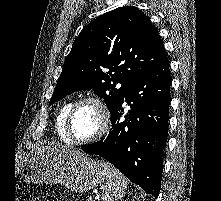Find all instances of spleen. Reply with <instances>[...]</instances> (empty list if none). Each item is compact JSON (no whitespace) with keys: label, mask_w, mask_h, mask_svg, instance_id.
Returning <instances> with one entry per match:
<instances>
[{"label":"spleen","mask_w":221,"mask_h":201,"mask_svg":"<svg viewBox=\"0 0 221 201\" xmlns=\"http://www.w3.org/2000/svg\"><path fill=\"white\" fill-rule=\"evenodd\" d=\"M98 164L102 167L104 178L107 180L103 187V201H118L124 195L127 189L126 178L112 164L104 160H99Z\"/></svg>","instance_id":"obj_1"}]
</instances>
